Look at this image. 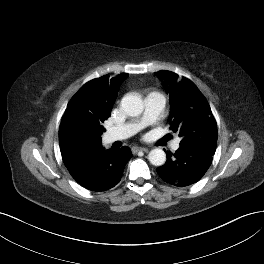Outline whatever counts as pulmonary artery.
<instances>
[{
  "mask_svg": "<svg viewBox=\"0 0 264 264\" xmlns=\"http://www.w3.org/2000/svg\"><path fill=\"white\" fill-rule=\"evenodd\" d=\"M166 99L165 96L159 92H152L145 98V111L141 118L110 128L105 133V141L113 142L121 140L136 133L141 128L151 124L160 117L165 107ZM173 150L179 148V141H175Z\"/></svg>",
  "mask_w": 264,
  "mask_h": 264,
  "instance_id": "1",
  "label": "pulmonary artery"
}]
</instances>
